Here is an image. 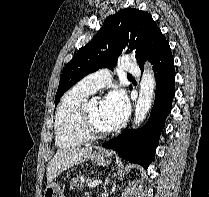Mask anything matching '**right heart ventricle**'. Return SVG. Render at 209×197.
I'll use <instances>...</instances> for the list:
<instances>
[{
    "instance_id": "1",
    "label": "right heart ventricle",
    "mask_w": 209,
    "mask_h": 197,
    "mask_svg": "<svg viewBox=\"0 0 209 197\" xmlns=\"http://www.w3.org/2000/svg\"><path fill=\"white\" fill-rule=\"evenodd\" d=\"M92 94L89 90L77 84L62 97L55 114V142L63 149L82 145L87 140L77 131L76 119L78 112Z\"/></svg>"
}]
</instances>
